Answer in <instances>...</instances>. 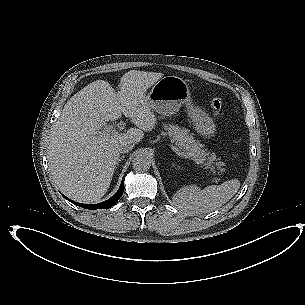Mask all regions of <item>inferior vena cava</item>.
Wrapping results in <instances>:
<instances>
[{
	"instance_id": "602c4592",
	"label": "inferior vena cava",
	"mask_w": 305,
	"mask_h": 305,
	"mask_svg": "<svg viewBox=\"0 0 305 305\" xmlns=\"http://www.w3.org/2000/svg\"><path fill=\"white\" fill-rule=\"evenodd\" d=\"M135 146V142L131 139H123L119 143V152L126 153L131 151Z\"/></svg>"
}]
</instances>
